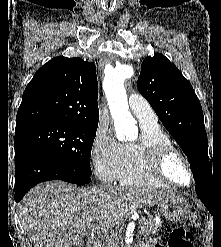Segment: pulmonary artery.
Returning a JSON list of instances; mask_svg holds the SVG:
<instances>
[{"label":"pulmonary artery","mask_w":221,"mask_h":247,"mask_svg":"<svg viewBox=\"0 0 221 247\" xmlns=\"http://www.w3.org/2000/svg\"><path fill=\"white\" fill-rule=\"evenodd\" d=\"M129 107L141 125H156L157 117L148 101L137 93L129 96Z\"/></svg>","instance_id":"obj_1"}]
</instances>
